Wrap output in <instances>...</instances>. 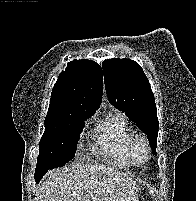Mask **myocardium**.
<instances>
[{
  "instance_id": "f54148a6",
  "label": "myocardium",
  "mask_w": 196,
  "mask_h": 201,
  "mask_svg": "<svg viewBox=\"0 0 196 201\" xmlns=\"http://www.w3.org/2000/svg\"><path fill=\"white\" fill-rule=\"evenodd\" d=\"M142 152V155L141 153ZM132 162L135 164H145L151 154V148L148 139L143 134H135L131 141L130 149Z\"/></svg>"
}]
</instances>
